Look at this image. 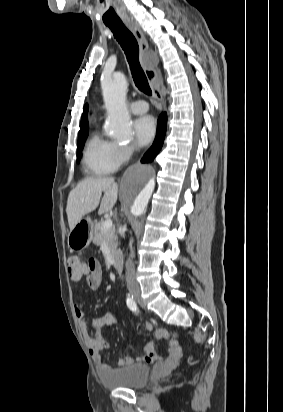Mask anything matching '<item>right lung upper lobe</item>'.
Returning <instances> with one entry per match:
<instances>
[{
	"label": "right lung upper lobe",
	"mask_w": 283,
	"mask_h": 412,
	"mask_svg": "<svg viewBox=\"0 0 283 412\" xmlns=\"http://www.w3.org/2000/svg\"><path fill=\"white\" fill-rule=\"evenodd\" d=\"M87 115H88V105L84 107L82 119H81V124H80V131L79 135L88 133V121H87Z\"/></svg>",
	"instance_id": "1"
}]
</instances>
